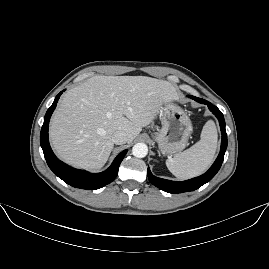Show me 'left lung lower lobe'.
<instances>
[{"label":"left lung lower lobe","instance_id":"1","mask_svg":"<svg viewBox=\"0 0 269 269\" xmlns=\"http://www.w3.org/2000/svg\"><path fill=\"white\" fill-rule=\"evenodd\" d=\"M190 98L198 101L199 103L206 104L210 111L218 118L220 128H221V133H222V141H221V149L220 153L211 166V168L203 175L186 180V181H170L162 178L155 177L150 169L148 168V173L147 176L149 178V181L156 187L160 188L161 190L168 192V193H183V192H189L198 189L208 181H210L216 173L219 171L223 159H224V154L227 148V134L225 130V120L222 112L214 105H212L210 102L197 98L194 96H189Z\"/></svg>","mask_w":269,"mask_h":269}]
</instances>
